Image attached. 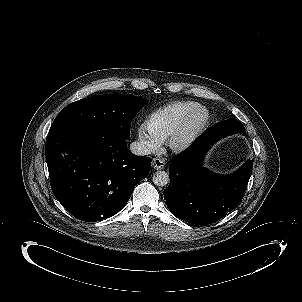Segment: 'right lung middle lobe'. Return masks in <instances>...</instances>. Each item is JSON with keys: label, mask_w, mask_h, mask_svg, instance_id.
Here are the masks:
<instances>
[{"label": "right lung middle lobe", "mask_w": 302, "mask_h": 302, "mask_svg": "<svg viewBox=\"0 0 302 302\" xmlns=\"http://www.w3.org/2000/svg\"><path fill=\"white\" fill-rule=\"evenodd\" d=\"M147 99L106 94L81 99L66 106L55 118L49 133L76 126H98L130 138V125Z\"/></svg>", "instance_id": "1"}]
</instances>
